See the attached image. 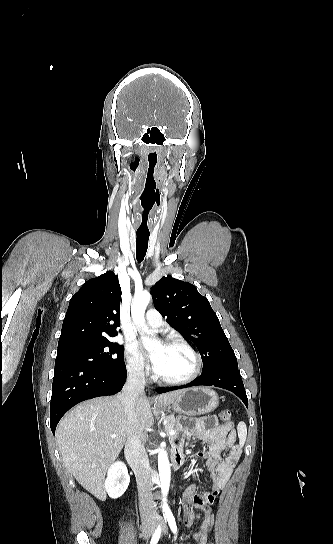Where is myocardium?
<instances>
[{"mask_svg":"<svg viewBox=\"0 0 333 544\" xmlns=\"http://www.w3.org/2000/svg\"><path fill=\"white\" fill-rule=\"evenodd\" d=\"M167 345L180 346V347H183L184 349H186L188 352H190L191 355L193 356L194 362H195L194 369L188 376H186L184 378H181V379H166V378H163L154 369V374H153L154 379L157 382H159V383H161L163 385H168V386H180V385H185V384H188V383L194 381L201 374L202 368H203V360H202V357L199 354V352L197 350H195L187 341H185L184 339H180V338L170 339L167 342Z\"/></svg>","mask_w":333,"mask_h":544,"instance_id":"f54148a6","label":"myocardium"}]
</instances>
